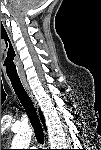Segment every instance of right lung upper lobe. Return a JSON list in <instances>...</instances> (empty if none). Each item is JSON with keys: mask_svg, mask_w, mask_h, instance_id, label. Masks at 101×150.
<instances>
[{"mask_svg": "<svg viewBox=\"0 0 101 150\" xmlns=\"http://www.w3.org/2000/svg\"><path fill=\"white\" fill-rule=\"evenodd\" d=\"M40 116H41V119H42V121H43L44 127H45V129H46L45 121H44V117H43V114H42V112H41V111H40Z\"/></svg>", "mask_w": 101, "mask_h": 150, "instance_id": "right-lung-upper-lobe-1", "label": "right lung upper lobe"}]
</instances>
